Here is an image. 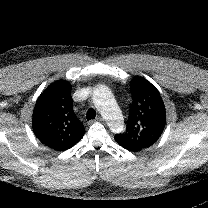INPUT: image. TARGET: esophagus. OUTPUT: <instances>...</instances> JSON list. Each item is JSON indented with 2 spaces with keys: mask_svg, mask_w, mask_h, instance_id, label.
Segmentation results:
<instances>
[{
  "mask_svg": "<svg viewBox=\"0 0 208 208\" xmlns=\"http://www.w3.org/2000/svg\"><path fill=\"white\" fill-rule=\"evenodd\" d=\"M96 120L99 121V122H103V121H104V118H102L101 116H98V117L96 118Z\"/></svg>",
  "mask_w": 208,
  "mask_h": 208,
  "instance_id": "obj_1",
  "label": "esophagus"
}]
</instances>
